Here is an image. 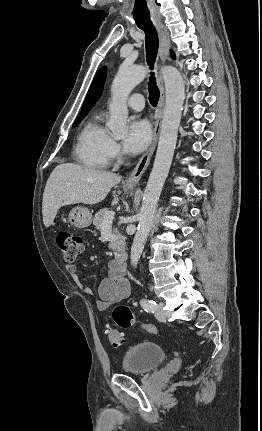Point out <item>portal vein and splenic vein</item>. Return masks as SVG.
<instances>
[{
    "label": "portal vein and splenic vein",
    "instance_id": "18ae733b",
    "mask_svg": "<svg viewBox=\"0 0 262 431\" xmlns=\"http://www.w3.org/2000/svg\"><path fill=\"white\" fill-rule=\"evenodd\" d=\"M115 213L110 211L106 214L104 220H103V225H108L111 224L113 219H114Z\"/></svg>",
    "mask_w": 262,
    "mask_h": 431
}]
</instances>
